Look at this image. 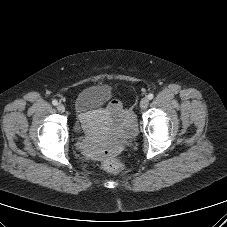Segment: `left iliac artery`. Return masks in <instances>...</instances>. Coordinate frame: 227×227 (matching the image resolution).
Returning <instances> with one entry per match:
<instances>
[{"instance_id": "44dca946", "label": "left iliac artery", "mask_w": 227, "mask_h": 227, "mask_svg": "<svg viewBox=\"0 0 227 227\" xmlns=\"http://www.w3.org/2000/svg\"><path fill=\"white\" fill-rule=\"evenodd\" d=\"M153 97H154V95L152 94V93H150L149 95H148V99H153Z\"/></svg>"}]
</instances>
